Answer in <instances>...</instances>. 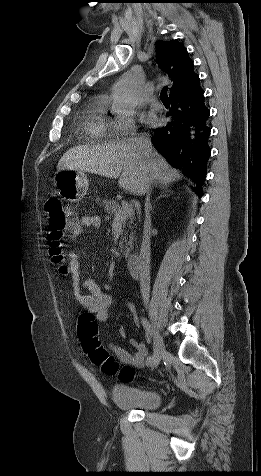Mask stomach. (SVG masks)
<instances>
[{"label":"stomach","instance_id":"1","mask_svg":"<svg viewBox=\"0 0 261 476\" xmlns=\"http://www.w3.org/2000/svg\"><path fill=\"white\" fill-rule=\"evenodd\" d=\"M54 180L61 195L71 202L80 200L89 186L86 175L79 170H60L55 174Z\"/></svg>","mask_w":261,"mask_h":476}]
</instances>
